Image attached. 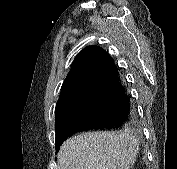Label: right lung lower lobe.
I'll return each instance as SVG.
<instances>
[{
  "label": "right lung lower lobe",
  "mask_w": 177,
  "mask_h": 169,
  "mask_svg": "<svg viewBox=\"0 0 177 169\" xmlns=\"http://www.w3.org/2000/svg\"><path fill=\"white\" fill-rule=\"evenodd\" d=\"M86 85L90 91L85 107L56 127V152L76 132L118 128L135 116L131 96L112 61L97 71Z\"/></svg>",
  "instance_id": "1"
}]
</instances>
